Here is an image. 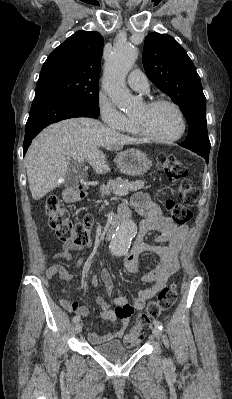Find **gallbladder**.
Returning <instances> with one entry per match:
<instances>
[{
    "mask_svg": "<svg viewBox=\"0 0 232 399\" xmlns=\"http://www.w3.org/2000/svg\"><path fill=\"white\" fill-rule=\"evenodd\" d=\"M71 169L72 170L66 172L63 184L64 186H67V188H76V186H79V180L77 177H79L80 174L85 173V168L81 167L80 163H72Z\"/></svg>",
    "mask_w": 232,
    "mask_h": 399,
    "instance_id": "gallbladder-1",
    "label": "gallbladder"
}]
</instances>
